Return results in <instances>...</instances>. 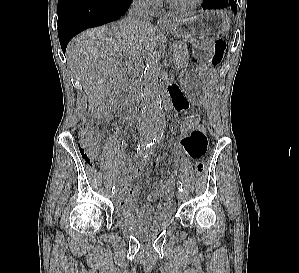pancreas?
I'll return each mask as SVG.
<instances>
[{
	"label": "pancreas",
	"instance_id": "cf45deb5",
	"mask_svg": "<svg viewBox=\"0 0 299 273\" xmlns=\"http://www.w3.org/2000/svg\"><path fill=\"white\" fill-rule=\"evenodd\" d=\"M189 51L185 43H179L175 46V51L171 63L174 64L176 68L184 67L188 64Z\"/></svg>",
	"mask_w": 299,
	"mask_h": 273
}]
</instances>
